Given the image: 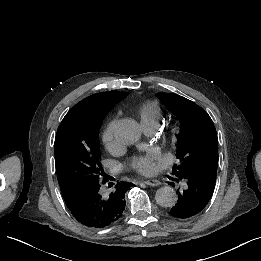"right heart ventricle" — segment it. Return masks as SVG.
I'll list each match as a JSON object with an SVG mask.
<instances>
[{
    "instance_id": "right-heart-ventricle-1",
    "label": "right heart ventricle",
    "mask_w": 261,
    "mask_h": 261,
    "mask_svg": "<svg viewBox=\"0 0 261 261\" xmlns=\"http://www.w3.org/2000/svg\"><path fill=\"white\" fill-rule=\"evenodd\" d=\"M162 116V109L154 101H147L138 109V118L142 126L150 125L156 127Z\"/></svg>"
}]
</instances>
